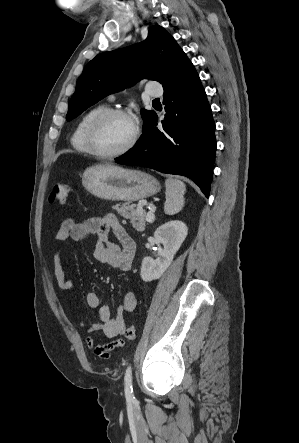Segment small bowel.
Segmentation results:
<instances>
[{"label": "small bowel", "instance_id": "c3829d8e", "mask_svg": "<svg viewBox=\"0 0 299 443\" xmlns=\"http://www.w3.org/2000/svg\"><path fill=\"white\" fill-rule=\"evenodd\" d=\"M90 236H96L97 238L93 251L94 258L97 261L123 271H129L133 267L135 244L126 234L114 214H106L100 218H90L83 222H76L69 218L61 223L55 239L57 242H65L69 239L78 242ZM53 266L60 289L71 291L73 285L64 272L61 248H58L53 254ZM86 303L88 307L96 310L98 318V321L93 324L82 325L88 334L85 340L86 345L96 357L108 359L114 350L124 346V341L118 337L126 329L125 315L133 312L137 306V297L134 292L127 291L117 308L115 316H112L108 306L101 303L99 295L95 292L87 293ZM95 332H102L111 342L106 345L96 344L91 336Z\"/></svg>", "mask_w": 299, "mask_h": 443}]
</instances>
